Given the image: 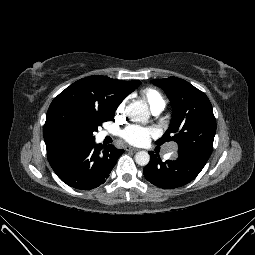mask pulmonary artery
Returning a JSON list of instances; mask_svg holds the SVG:
<instances>
[{"label":"pulmonary artery","mask_w":255,"mask_h":255,"mask_svg":"<svg viewBox=\"0 0 255 255\" xmlns=\"http://www.w3.org/2000/svg\"><path fill=\"white\" fill-rule=\"evenodd\" d=\"M162 111V108H158L153 110L154 114H159ZM103 135H106V132L103 133ZM176 154V147L174 145H172L169 149V151L165 154V158L169 159V158H173Z\"/></svg>","instance_id":"1"}]
</instances>
